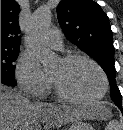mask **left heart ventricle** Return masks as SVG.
<instances>
[{
  "mask_svg": "<svg viewBox=\"0 0 123 130\" xmlns=\"http://www.w3.org/2000/svg\"><path fill=\"white\" fill-rule=\"evenodd\" d=\"M49 74L70 95L77 98L97 96L103 86L98 70L84 60L64 63L60 59L50 68Z\"/></svg>",
  "mask_w": 123,
  "mask_h": 130,
  "instance_id": "left-heart-ventricle-1",
  "label": "left heart ventricle"
}]
</instances>
